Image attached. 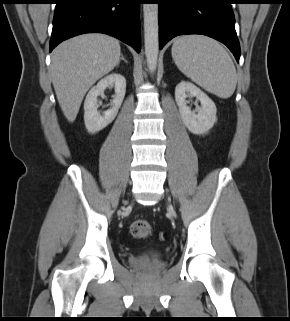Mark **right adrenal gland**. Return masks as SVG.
<instances>
[{"instance_id": "1", "label": "right adrenal gland", "mask_w": 290, "mask_h": 321, "mask_svg": "<svg viewBox=\"0 0 290 321\" xmlns=\"http://www.w3.org/2000/svg\"><path fill=\"white\" fill-rule=\"evenodd\" d=\"M120 60H123L125 63H128V61L124 58L123 54H121ZM120 61L117 64V67H119Z\"/></svg>"}]
</instances>
